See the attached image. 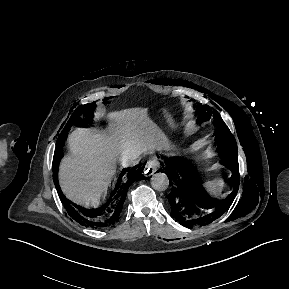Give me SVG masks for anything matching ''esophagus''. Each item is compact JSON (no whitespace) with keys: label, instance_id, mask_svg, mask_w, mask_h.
Here are the masks:
<instances>
[{"label":"esophagus","instance_id":"obj_1","mask_svg":"<svg viewBox=\"0 0 289 289\" xmlns=\"http://www.w3.org/2000/svg\"><path fill=\"white\" fill-rule=\"evenodd\" d=\"M159 168V162L156 159H151L147 162L145 166V174L146 176L153 175Z\"/></svg>","mask_w":289,"mask_h":289}]
</instances>
